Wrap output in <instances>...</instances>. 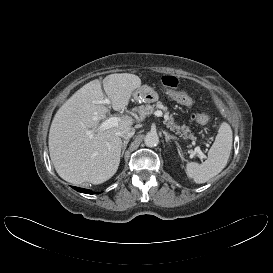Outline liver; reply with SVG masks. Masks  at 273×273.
Instances as JSON below:
<instances>
[{"instance_id": "6515ba94", "label": "liver", "mask_w": 273, "mask_h": 273, "mask_svg": "<svg viewBox=\"0 0 273 273\" xmlns=\"http://www.w3.org/2000/svg\"><path fill=\"white\" fill-rule=\"evenodd\" d=\"M102 84L112 108L120 111L141 86V79L130 73L110 74L102 82L95 79L57 111L49 131L50 158L58 175L69 183L101 184L110 179L120 163L122 140L118 133L133 125L132 118L124 116L118 125L99 129L109 111L102 103Z\"/></svg>"}]
</instances>
